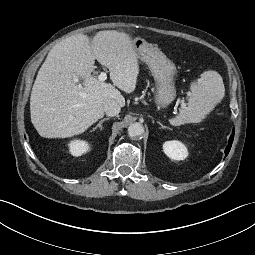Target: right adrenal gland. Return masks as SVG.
Listing matches in <instances>:
<instances>
[{
	"instance_id": "2a0ac1e0",
	"label": "right adrenal gland",
	"mask_w": 255,
	"mask_h": 255,
	"mask_svg": "<svg viewBox=\"0 0 255 255\" xmlns=\"http://www.w3.org/2000/svg\"><path fill=\"white\" fill-rule=\"evenodd\" d=\"M110 118H103L102 120H100L99 121V123L95 126V128L93 129V130H95V129H97V128H100V130H102V123L104 122V121H107V120H109Z\"/></svg>"
}]
</instances>
